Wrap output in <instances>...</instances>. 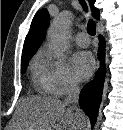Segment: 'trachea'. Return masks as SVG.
<instances>
[{"label":"trachea","mask_w":123,"mask_h":130,"mask_svg":"<svg viewBox=\"0 0 123 130\" xmlns=\"http://www.w3.org/2000/svg\"><path fill=\"white\" fill-rule=\"evenodd\" d=\"M79 2L81 3L84 11L87 12L88 8H87V4H86L85 0H79ZM87 32L91 36H94L96 34V27H95V23L93 22V20L88 21Z\"/></svg>","instance_id":"1"}]
</instances>
